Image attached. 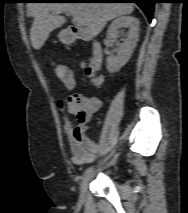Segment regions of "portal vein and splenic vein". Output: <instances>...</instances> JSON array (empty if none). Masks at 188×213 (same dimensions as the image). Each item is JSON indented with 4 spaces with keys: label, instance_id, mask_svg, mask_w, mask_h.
Instances as JSON below:
<instances>
[{
    "label": "portal vein and splenic vein",
    "instance_id": "1",
    "mask_svg": "<svg viewBox=\"0 0 188 213\" xmlns=\"http://www.w3.org/2000/svg\"><path fill=\"white\" fill-rule=\"evenodd\" d=\"M73 21L74 23H76L78 26H84L85 25V21L83 18L79 17V16H73Z\"/></svg>",
    "mask_w": 188,
    "mask_h": 213
}]
</instances>
